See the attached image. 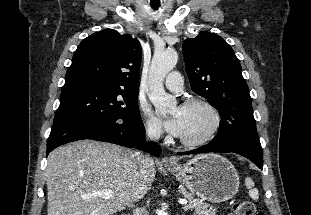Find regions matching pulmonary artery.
Returning <instances> with one entry per match:
<instances>
[{
    "instance_id": "1",
    "label": "pulmonary artery",
    "mask_w": 311,
    "mask_h": 215,
    "mask_svg": "<svg viewBox=\"0 0 311 215\" xmlns=\"http://www.w3.org/2000/svg\"><path fill=\"white\" fill-rule=\"evenodd\" d=\"M165 86L172 92L179 93L183 90V78L177 71L168 74L165 79Z\"/></svg>"
}]
</instances>
